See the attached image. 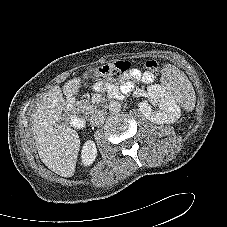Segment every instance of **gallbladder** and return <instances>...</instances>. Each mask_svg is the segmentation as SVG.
I'll use <instances>...</instances> for the list:
<instances>
[{
    "label": "gallbladder",
    "mask_w": 227,
    "mask_h": 227,
    "mask_svg": "<svg viewBox=\"0 0 227 227\" xmlns=\"http://www.w3.org/2000/svg\"><path fill=\"white\" fill-rule=\"evenodd\" d=\"M59 125V126H66V121L63 120V119H60L59 121L56 122V126Z\"/></svg>",
    "instance_id": "bac80fb5"
}]
</instances>
